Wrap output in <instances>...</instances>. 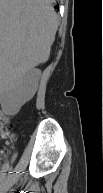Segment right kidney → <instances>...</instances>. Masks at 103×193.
<instances>
[{"label":"right kidney","instance_id":"ca27d5eb","mask_svg":"<svg viewBox=\"0 0 103 193\" xmlns=\"http://www.w3.org/2000/svg\"><path fill=\"white\" fill-rule=\"evenodd\" d=\"M41 71L31 69L26 73L3 81L0 90V105L4 114L16 115L20 108L35 95Z\"/></svg>","mask_w":103,"mask_h":193}]
</instances>
